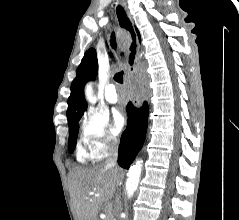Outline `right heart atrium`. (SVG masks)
I'll return each mask as SVG.
<instances>
[{"mask_svg":"<svg viewBox=\"0 0 239 220\" xmlns=\"http://www.w3.org/2000/svg\"><path fill=\"white\" fill-rule=\"evenodd\" d=\"M80 139L90 159H100L116 147V138L109 131L108 117L103 112L87 109L80 120Z\"/></svg>","mask_w":239,"mask_h":220,"instance_id":"d8ad5b80","label":"right heart atrium"}]
</instances>
